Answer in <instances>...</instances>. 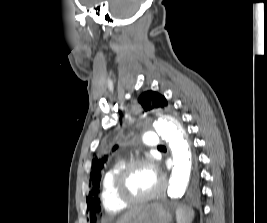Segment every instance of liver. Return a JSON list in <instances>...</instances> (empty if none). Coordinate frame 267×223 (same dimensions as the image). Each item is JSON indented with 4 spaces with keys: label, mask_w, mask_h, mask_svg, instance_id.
Masks as SVG:
<instances>
[{
    "label": "liver",
    "mask_w": 267,
    "mask_h": 223,
    "mask_svg": "<svg viewBox=\"0 0 267 223\" xmlns=\"http://www.w3.org/2000/svg\"><path fill=\"white\" fill-rule=\"evenodd\" d=\"M141 210L140 207H135L128 212H126L118 221L117 223H126L128 220H130L132 217H134L136 214H138Z\"/></svg>",
    "instance_id": "liver-1"
}]
</instances>
